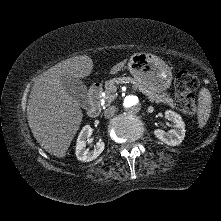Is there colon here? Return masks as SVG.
<instances>
[{
    "label": "colon",
    "mask_w": 221,
    "mask_h": 221,
    "mask_svg": "<svg viewBox=\"0 0 221 221\" xmlns=\"http://www.w3.org/2000/svg\"><path fill=\"white\" fill-rule=\"evenodd\" d=\"M199 86L198 77L188 71H180L175 78V100L177 107L186 114L196 112L194 91Z\"/></svg>",
    "instance_id": "obj_1"
}]
</instances>
